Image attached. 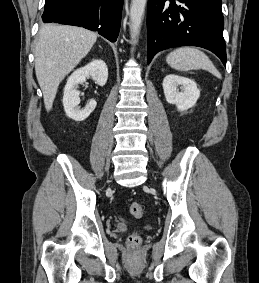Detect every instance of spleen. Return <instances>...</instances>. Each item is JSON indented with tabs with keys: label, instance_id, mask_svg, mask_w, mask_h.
<instances>
[{
	"label": "spleen",
	"instance_id": "spleen-1",
	"mask_svg": "<svg viewBox=\"0 0 259 283\" xmlns=\"http://www.w3.org/2000/svg\"><path fill=\"white\" fill-rule=\"evenodd\" d=\"M166 62L172 68L179 71L203 69L210 72L217 78H221V74L208 56L193 47H180L175 49L168 54Z\"/></svg>",
	"mask_w": 259,
	"mask_h": 283
}]
</instances>
